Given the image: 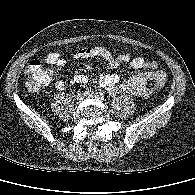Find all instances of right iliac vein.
<instances>
[{
    "instance_id": "1",
    "label": "right iliac vein",
    "mask_w": 195,
    "mask_h": 195,
    "mask_svg": "<svg viewBox=\"0 0 195 195\" xmlns=\"http://www.w3.org/2000/svg\"><path fill=\"white\" fill-rule=\"evenodd\" d=\"M86 94L85 93H78L75 97V100L77 102H81L85 98Z\"/></svg>"
}]
</instances>
